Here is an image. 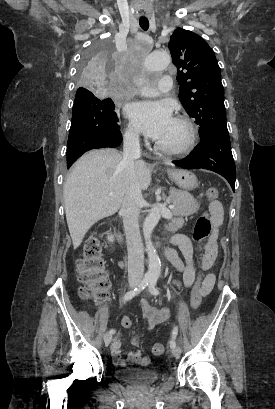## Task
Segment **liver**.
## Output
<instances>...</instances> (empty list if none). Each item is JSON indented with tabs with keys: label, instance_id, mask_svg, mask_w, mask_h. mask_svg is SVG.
Listing matches in <instances>:
<instances>
[{
	"label": "liver",
	"instance_id": "1",
	"mask_svg": "<svg viewBox=\"0 0 275 409\" xmlns=\"http://www.w3.org/2000/svg\"><path fill=\"white\" fill-rule=\"evenodd\" d=\"M115 148L90 150L78 158L64 184L67 225L74 249L90 227L117 213L126 192V168ZM137 180L145 190L151 182L146 162L135 160ZM113 192V194H109Z\"/></svg>",
	"mask_w": 275,
	"mask_h": 409
}]
</instances>
